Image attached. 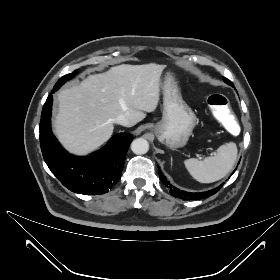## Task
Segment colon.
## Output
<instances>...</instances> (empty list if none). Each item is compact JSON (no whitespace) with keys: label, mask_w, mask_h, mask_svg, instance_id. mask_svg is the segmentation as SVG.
Returning <instances> with one entry per match:
<instances>
[{"label":"colon","mask_w":280,"mask_h":280,"mask_svg":"<svg viewBox=\"0 0 280 280\" xmlns=\"http://www.w3.org/2000/svg\"><path fill=\"white\" fill-rule=\"evenodd\" d=\"M207 104L214 118L223 124L227 132L235 136L243 134V125L236 122L228 105V101L223 95L218 93L210 94L207 97Z\"/></svg>","instance_id":"5ec220e1"}]
</instances>
